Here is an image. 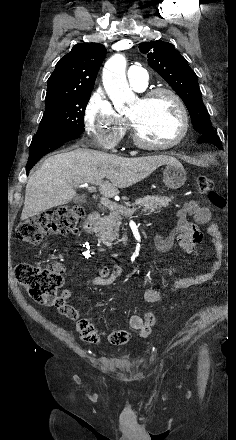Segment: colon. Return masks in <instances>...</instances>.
I'll use <instances>...</instances> for the list:
<instances>
[{"label":"colon","mask_w":236,"mask_h":440,"mask_svg":"<svg viewBox=\"0 0 236 440\" xmlns=\"http://www.w3.org/2000/svg\"><path fill=\"white\" fill-rule=\"evenodd\" d=\"M197 187L201 194L208 196L216 209L225 208V198L214 189L208 177H198ZM84 214L85 209L80 204L61 206L21 222L16 229V235L24 243L33 246L44 245L47 238L51 236L75 232ZM16 278L34 301L56 307L62 313L64 312L67 304L58 294L63 284V277L53 265L42 267L33 263H19L16 267ZM155 323V316L152 313L146 314L144 324H150L152 328Z\"/></svg>","instance_id":"colon-1"}]
</instances>
